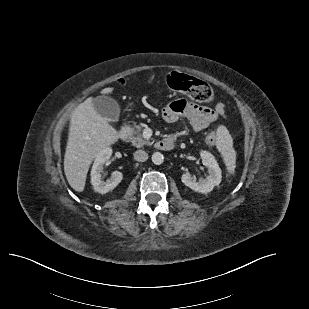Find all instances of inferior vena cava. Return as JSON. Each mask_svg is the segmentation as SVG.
I'll return each mask as SVG.
<instances>
[{
	"mask_svg": "<svg viewBox=\"0 0 309 309\" xmlns=\"http://www.w3.org/2000/svg\"><path fill=\"white\" fill-rule=\"evenodd\" d=\"M134 159L139 162H144L148 159V154L143 150H137L134 153Z\"/></svg>",
	"mask_w": 309,
	"mask_h": 309,
	"instance_id": "obj_1",
	"label": "inferior vena cava"
}]
</instances>
